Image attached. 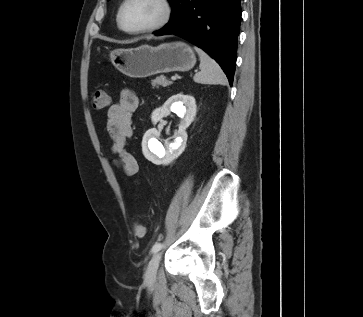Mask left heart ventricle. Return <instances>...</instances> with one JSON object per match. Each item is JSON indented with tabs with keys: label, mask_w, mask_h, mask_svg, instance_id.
I'll use <instances>...</instances> for the list:
<instances>
[{
	"label": "left heart ventricle",
	"mask_w": 363,
	"mask_h": 317,
	"mask_svg": "<svg viewBox=\"0 0 363 317\" xmlns=\"http://www.w3.org/2000/svg\"><path fill=\"white\" fill-rule=\"evenodd\" d=\"M162 7L157 0H131L123 12V25L128 29H140L160 19Z\"/></svg>",
	"instance_id": "left-heart-ventricle-1"
}]
</instances>
